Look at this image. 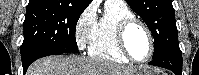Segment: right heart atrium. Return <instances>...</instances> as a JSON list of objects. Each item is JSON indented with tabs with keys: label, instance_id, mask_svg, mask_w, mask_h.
Segmentation results:
<instances>
[{
	"label": "right heart atrium",
	"instance_id": "d8ad5b80",
	"mask_svg": "<svg viewBox=\"0 0 199 75\" xmlns=\"http://www.w3.org/2000/svg\"><path fill=\"white\" fill-rule=\"evenodd\" d=\"M97 25L96 12L88 7L80 15L75 25V38L79 49H85L91 42Z\"/></svg>",
	"mask_w": 199,
	"mask_h": 75
}]
</instances>
